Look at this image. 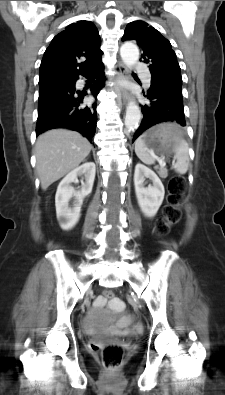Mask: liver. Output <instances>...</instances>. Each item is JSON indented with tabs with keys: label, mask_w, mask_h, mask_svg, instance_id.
<instances>
[{
	"label": "liver",
	"mask_w": 225,
	"mask_h": 395,
	"mask_svg": "<svg viewBox=\"0 0 225 395\" xmlns=\"http://www.w3.org/2000/svg\"><path fill=\"white\" fill-rule=\"evenodd\" d=\"M91 148L90 142L76 131L53 129L40 135L35 145V156L41 188L46 190L77 168Z\"/></svg>",
	"instance_id": "1"
}]
</instances>
